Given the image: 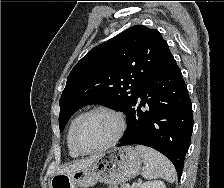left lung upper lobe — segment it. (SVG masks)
<instances>
[{
    "mask_svg": "<svg viewBox=\"0 0 224 188\" xmlns=\"http://www.w3.org/2000/svg\"><path fill=\"white\" fill-rule=\"evenodd\" d=\"M174 60L160 32L135 25L91 49L72 69L60 98V131L78 109L104 103L128 120L141 87Z\"/></svg>",
    "mask_w": 224,
    "mask_h": 188,
    "instance_id": "1",
    "label": "left lung upper lobe"
}]
</instances>
